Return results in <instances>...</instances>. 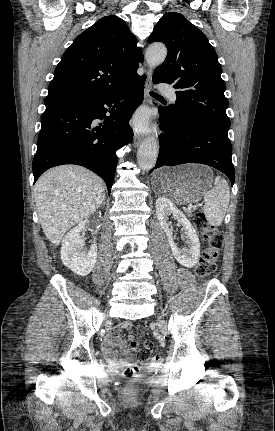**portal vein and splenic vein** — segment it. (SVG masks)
<instances>
[{"mask_svg": "<svg viewBox=\"0 0 275 431\" xmlns=\"http://www.w3.org/2000/svg\"><path fill=\"white\" fill-rule=\"evenodd\" d=\"M193 206L192 205H188L187 207H184V210L186 211V212H189L190 210H191V208H192Z\"/></svg>", "mask_w": 275, "mask_h": 431, "instance_id": "1", "label": "portal vein and splenic vein"}]
</instances>
